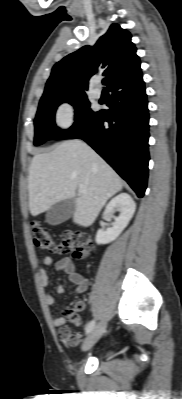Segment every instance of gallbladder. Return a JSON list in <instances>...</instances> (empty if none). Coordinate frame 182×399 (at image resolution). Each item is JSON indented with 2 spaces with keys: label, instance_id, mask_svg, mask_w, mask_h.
I'll use <instances>...</instances> for the list:
<instances>
[{
  "label": "gallbladder",
  "instance_id": "1",
  "mask_svg": "<svg viewBox=\"0 0 182 399\" xmlns=\"http://www.w3.org/2000/svg\"><path fill=\"white\" fill-rule=\"evenodd\" d=\"M75 199H67L51 206L46 213V222L52 226L68 220L75 211Z\"/></svg>",
  "mask_w": 182,
  "mask_h": 399
}]
</instances>
